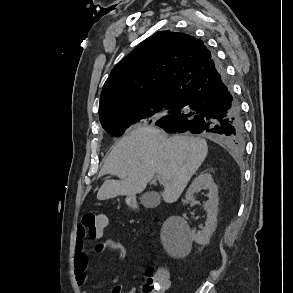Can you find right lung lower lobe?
<instances>
[{
    "mask_svg": "<svg viewBox=\"0 0 293 293\" xmlns=\"http://www.w3.org/2000/svg\"><path fill=\"white\" fill-rule=\"evenodd\" d=\"M169 133L207 134L236 152L244 149L241 109L215 57L176 98V108L154 122Z\"/></svg>",
    "mask_w": 293,
    "mask_h": 293,
    "instance_id": "1",
    "label": "right lung lower lobe"
}]
</instances>
